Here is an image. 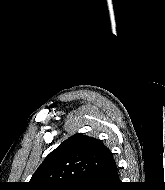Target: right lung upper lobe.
<instances>
[{
  "instance_id": "right-lung-upper-lobe-1",
  "label": "right lung upper lobe",
  "mask_w": 165,
  "mask_h": 190,
  "mask_svg": "<svg viewBox=\"0 0 165 190\" xmlns=\"http://www.w3.org/2000/svg\"><path fill=\"white\" fill-rule=\"evenodd\" d=\"M112 159V153L101 141L75 134L46 157L25 188L50 190L52 187L80 182L91 170Z\"/></svg>"
}]
</instances>
